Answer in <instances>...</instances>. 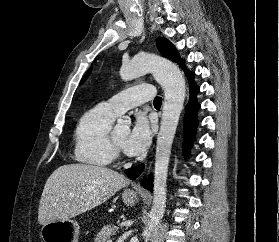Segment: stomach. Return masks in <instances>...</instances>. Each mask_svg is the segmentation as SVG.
<instances>
[{"mask_svg": "<svg viewBox=\"0 0 279 242\" xmlns=\"http://www.w3.org/2000/svg\"><path fill=\"white\" fill-rule=\"evenodd\" d=\"M122 200L125 205L133 206L139 201V195L125 190ZM40 234L43 242H78L79 227L74 220H57L43 225Z\"/></svg>", "mask_w": 279, "mask_h": 242, "instance_id": "0dacf381", "label": "stomach"}]
</instances>
